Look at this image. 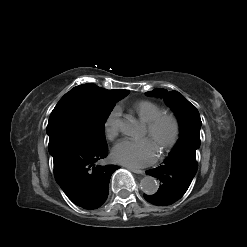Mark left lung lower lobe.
Segmentation results:
<instances>
[{
	"label": "left lung lower lobe",
	"mask_w": 247,
	"mask_h": 247,
	"mask_svg": "<svg viewBox=\"0 0 247 247\" xmlns=\"http://www.w3.org/2000/svg\"><path fill=\"white\" fill-rule=\"evenodd\" d=\"M197 168L196 149L182 147L173 150L163 165L146 172L160 181V187L157 193L145 195V200L160 206L173 204L185 194Z\"/></svg>",
	"instance_id": "left-lung-lower-lobe-1"
}]
</instances>
